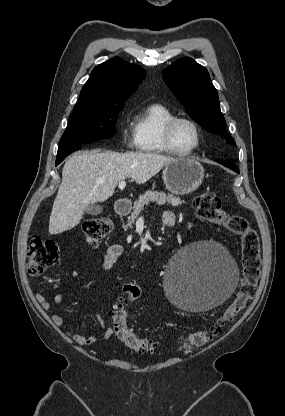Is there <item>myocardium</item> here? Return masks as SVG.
Segmentation results:
<instances>
[{"instance_id":"obj_1","label":"myocardium","mask_w":285,"mask_h":416,"mask_svg":"<svg viewBox=\"0 0 285 416\" xmlns=\"http://www.w3.org/2000/svg\"><path fill=\"white\" fill-rule=\"evenodd\" d=\"M180 121H185L187 123H189L195 130L196 133V138H197V142L196 145L189 149V150H180L178 148H176V146L174 145L173 142V130L175 125L180 122ZM163 140H164V144L167 148V150L177 156H189L192 154H195L199 148L201 147L202 144V134H201V129L198 125V123L193 120L190 117L187 116H174L172 117L170 120H168L163 128Z\"/></svg>"}]
</instances>
